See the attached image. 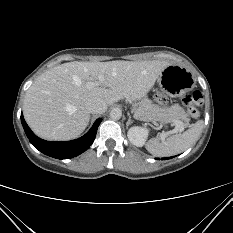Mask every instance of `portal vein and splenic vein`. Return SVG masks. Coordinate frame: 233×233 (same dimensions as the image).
Returning <instances> with one entry per match:
<instances>
[{
    "label": "portal vein and splenic vein",
    "instance_id": "18ae733b",
    "mask_svg": "<svg viewBox=\"0 0 233 233\" xmlns=\"http://www.w3.org/2000/svg\"><path fill=\"white\" fill-rule=\"evenodd\" d=\"M102 81H103V76H99L98 81L93 83V85L100 86V85H102ZM174 124L176 125V130L169 131L168 133H163L161 135L162 139H164L167 136V134H172V133L178 132V131L182 132L184 130V126H183V123L181 121L175 120Z\"/></svg>",
    "mask_w": 233,
    "mask_h": 233
}]
</instances>
